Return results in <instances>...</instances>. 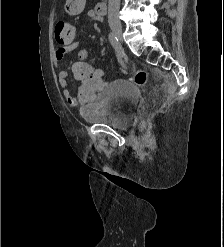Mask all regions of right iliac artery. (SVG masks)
<instances>
[{
    "mask_svg": "<svg viewBox=\"0 0 224 247\" xmlns=\"http://www.w3.org/2000/svg\"><path fill=\"white\" fill-rule=\"evenodd\" d=\"M108 38H109V41H110L112 47L115 49L118 58H121L122 54H123V51L121 49V46H120L118 38L112 32L109 33Z\"/></svg>",
    "mask_w": 224,
    "mask_h": 247,
    "instance_id": "1",
    "label": "right iliac artery"
}]
</instances>
